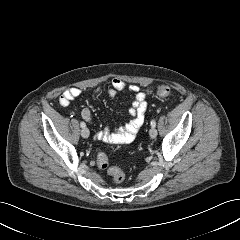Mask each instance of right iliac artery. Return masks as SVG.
Segmentation results:
<instances>
[{
	"mask_svg": "<svg viewBox=\"0 0 240 240\" xmlns=\"http://www.w3.org/2000/svg\"><path fill=\"white\" fill-rule=\"evenodd\" d=\"M80 126H81L82 128H85V127H86V124H85L84 122H81V123H80Z\"/></svg>",
	"mask_w": 240,
	"mask_h": 240,
	"instance_id": "82829eb1",
	"label": "right iliac artery"
}]
</instances>
